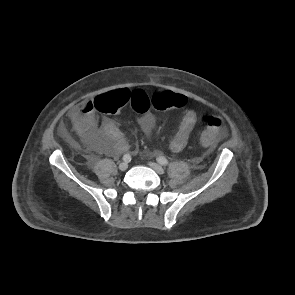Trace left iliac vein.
<instances>
[{
    "label": "left iliac vein",
    "instance_id": "obj_1",
    "mask_svg": "<svg viewBox=\"0 0 295 295\" xmlns=\"http://www.w3.org/2000/svg\"><path fill=\"white\" fill-rule=\"evenodd\" d=\"M149 166H150L153 170H155L158 174H163V173L165 172L164 168H163L161 165L157 164V163L150 162V163H149Z\"/></svg>",
    "mask_w": 295,
    "mask_h": 295
}]
</instances>
